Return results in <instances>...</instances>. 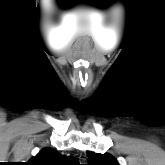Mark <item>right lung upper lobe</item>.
I'll return each instance as SVG.
<instances>
[{"mask_svg":"<svg viewBox=\"0 0 165 165\" xmlns=\"http://www.w3.org/2000/svg\"><path fill=\"white\" fill-rule=\"evenodd\" d=\"M25 165H80L72 156L61 155L53 149H42L39 154L31 158Z\"/></svg>","mask_w":165,"mask_h":165,"instance_id":"right-lung-upper-lobe-1","label":"right lung upper lobe"}]
</instances>
